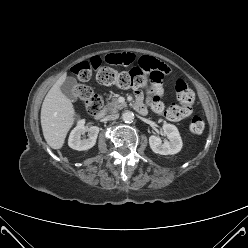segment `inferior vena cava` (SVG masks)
Masks as SVG:
<instances>
[{"label":"inferior vena cava","instance_id":"obj_1","mask_svg":"<svg viewBox=\"0 0 248 248\" xmlns=\"http://www.w3.org/2000/svg\"><path fill=\"white\" fill-rule=\"evenodd\" d=\"M119 115L118 114H111V115H107L105 117V120H116L118 119Z\"/></svg>","mask_w":248,"mask_h":248}]
</instances>
